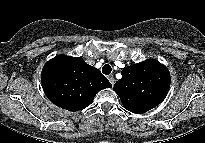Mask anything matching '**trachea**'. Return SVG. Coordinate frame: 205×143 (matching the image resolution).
Wrapping results in <instances>:
<instances>
[{
	"label": "trachea",
	"instance_id": "obj_1",
	"mask_svg": "<svg viewBox=\"0 0 205 143\" xmlns=\"http://www.w3.org/2000/svg\"><path fill=\"white\" fill-rule=\"evenodd\" d=\"M111 71H112V68H111V66L108 65V64H106V65H104V66L102 67V72H103V74H105V75H109V74L111 73Z\"/></svg>",
	"mask_w": 205,
	"mask_h": 143
}]
</instances>
